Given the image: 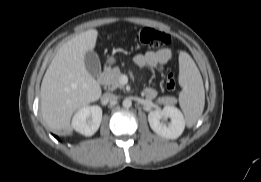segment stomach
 <instances>
[{"mask_svg":"<svg viewBox=\"0 0 261 182\" xmlns=\"http://www.w3.org/2000/svg\"><path fill=\"white\" fill-rule=\"evenodd\" d=\"M115 62H116L115 57H113V56L108 57V59H107V64H108L109 66L113 65Z\"/></svg>","mask_w":261,"mask_h":182,"instance_id":"stomach-1","label":"stomach"}]
</instances>
